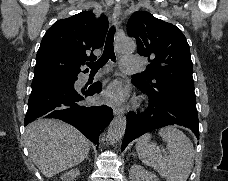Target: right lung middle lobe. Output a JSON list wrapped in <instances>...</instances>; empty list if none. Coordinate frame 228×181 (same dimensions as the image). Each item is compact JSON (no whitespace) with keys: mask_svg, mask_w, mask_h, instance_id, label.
<instances>
[{"mask_svg":"<svg viewBox=\"0 0 228 181\" xmlns=\"http://www.w3.org/2000/svg\"><path fill=\"white\" fill-rule=\"evenodd\" d=\"M65 77H58V78H50V79H45V80H41V81H47V80H58V79H63ZM33 82H38V81H33Z\"/></svg>","mask_w":228,"mask_h":181,"instance_id":"obj_1","label":"right lung middle lobe"}]
</instances>
